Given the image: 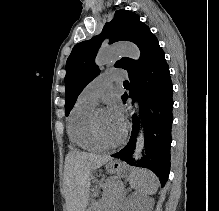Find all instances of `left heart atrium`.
<instances>
[{"label":"left heart atrium","mask_w":219,"mask_h":211,"mask_svg":"<svg viewBox=\"0 0 219 211\" xmlns=\"http://www.w3.org/2000/svg\"><path fill=\"white\" fill-rule=\"evenodd\" d=\"M106 111L112 123L116 127L124 130L126 125L124 108L121 101L117 97H111L108 99Z\"/></svg>","instance_id":"left-heart-atrium-1"}]
</instances>
